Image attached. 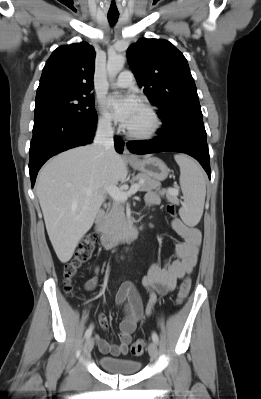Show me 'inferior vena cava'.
Wrapping results in <instances>:
<instances>
[{
    "mask_svg": "<svg viewBox=\"0 0 261 399\" xmlns=\"http://www.w3.org/2000/svg\"><path fill=\"white\" fill-rule=\"evenodd\" d=\"M114 130L110 121H103L98 124L94 144L101 147L107 153L114 151Z\"/></svg>",
    "mask_w": 261,
    "mask_h": 399,
    "instance_id": "inferior-vena-cava-1",
    "label": "inferior vena cava"
}]
</instances>
